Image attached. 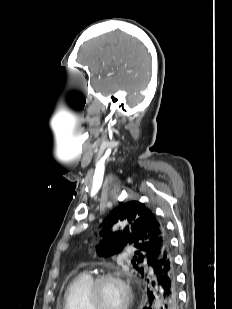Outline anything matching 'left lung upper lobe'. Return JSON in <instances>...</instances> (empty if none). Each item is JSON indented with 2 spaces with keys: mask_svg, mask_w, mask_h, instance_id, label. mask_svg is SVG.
Wrapping results in <instances>:
<instances>
[{
  "mask_svg": "<svg viewBox=\"0 0 232 309\" xmlns=\"http://www.w3.org/2000/svg\"><path fill=\"white\" fill-rule=\"evenodd\" d=\"M118 220H127L128 225L123 231L111 232L108 227ZM107 229L101 234L106 238L97 247L99 255L108 257L120 253L125 246L134 247L136 256L132 260L135 269L144 276L147 268L138 266L145 259L157 258L164 246H169V239L163 223L144 204L130 201L116 207L101 224ZM144 253V255L142 254Z\"/></svg>",
  "mask_w": 232,
  "mask_h": 309,
  "instance_id": "obj_1",
  "label": "left lung upper lobe"
}]
</instances>
